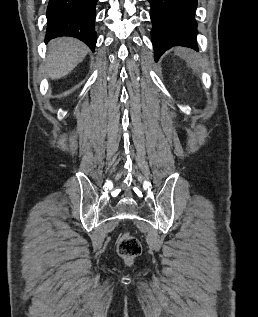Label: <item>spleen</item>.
Returning <instances> with one entry per match:
<instances>
[{"label": "spleen", "mask_w": 258, "mask_h": 317, "mask_svg": "<svg viewBox=\"0 0 258 317\" xmlns=\"http://www.w3.org/2000/svg\"><path fill=\"white\" fill-rule=\"evenodd\" d=\"M175 52L182 58H186L187 62H190L191 58H193V52L189 48H176Z\"/></svg>", "instance_id": "spleen-1"}]
</instances>
